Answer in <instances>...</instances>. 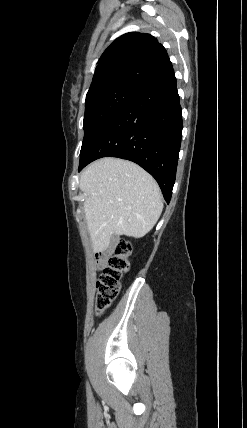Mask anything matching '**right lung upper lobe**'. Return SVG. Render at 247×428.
<instances>
[{
  "label": "right lung upper lobe",
  "mask_w": 247,
  "mask_h": 428,
  "mask_svg": "<svg viewBox=\"0 0 247 428\" xmlns=\"http://www.w3.org/2000/svg\"><path fill=\"white\" fill-rule=\"evenodd\" d=\"M172 70L162 44L150 34L131 32L117 38L102 54L87 95L113 87L141 92Z\"/></svg>",
  "instance_id": "cb5924a9"
}]
</instances>
